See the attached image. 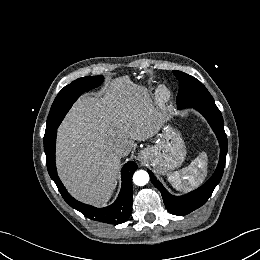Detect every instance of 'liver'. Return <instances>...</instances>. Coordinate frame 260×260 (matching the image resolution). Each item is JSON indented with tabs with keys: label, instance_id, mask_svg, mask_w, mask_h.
<instances>
[{
	"label": "liver",
	"instance_id": "obj_1",
	"mask_svg": "<svg viewBox=\"0 0 260 260\" xmlns=\"http://www.w3.org/2000/svg\"><path fill=\"white\" fill-rule=\"evenodd\" d=\"M104 93L101 99L84 96L59 135L63 179L78 197L96 205H104L117 184L121 157L114 146L124 144L130 150L134 140L145 141L159 130L149 118L143 87L116 82Z\"/></svg>",
	"mask_w": 260,
	"mask_h": 260
}]
</instances>
